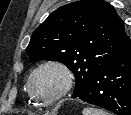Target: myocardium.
Wrapping results in <instances>:
<instances>
[{
	"instance_id": "1",
	"label": "myocardium",
	"mask_w": 131,
	"mask_h": 115,
	"mask_svg": "<svg viewBox=\"0 0 131 115\" xmlns=\"http://www.w3.org/2000/svg\"><path fill=\"white\" fill-rule=\"evenodd\" d=\"M44 69H54L58 71L62 77V85L60 89L58 90V92L52 97L47 98V99L40 98L34 92L33 86H32L34 77L37 75V73H39L40 71ZM73 81H74L73 73L71 69L65 63L58 60H47L39 64L30 73L27 79V91L30 97L34 99L36 102L44 106H49V105L55 104L56 102L61 100L63 97H65L69 93V91L71 90L73 86Z\"/></svg>"
}]
</instances>
